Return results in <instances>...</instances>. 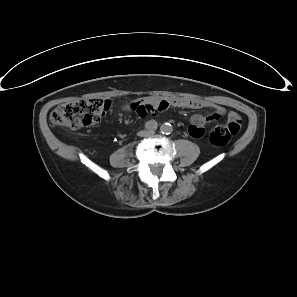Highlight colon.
<instances>
[{"label": "colon", "mask_w": 297, "mask_h": 297, "mask_svg": "<svg viewBox=\"0 0 297 297\" xmlns=\"http://www.w3.org/2000/svg\"><path fill=\"white\" fill-rule=\"evenodd\" d=\"M110 101L102 98L80 99L64 103L55 108L50 115L53 126L72 130L98 123L109 110ZM241 119L236 117L216 125L210 132V142L216 146L226 145L241 128Z\"/></svg>", "instance_id": "5ec220e1"}]
</instances>
